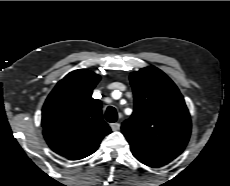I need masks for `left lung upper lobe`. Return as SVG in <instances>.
Returning a JSON list of instances; mask_svg holds the SVG:
<instances>
[{
  "label": "left lung upper lobe",
  "mask_w": 230,
  "mask_h": 186,
  "mask_svg": "<svg viewBox=\"0 0 230 186\" xmlns=\"http://www.w3.org/2000/svg\"><path fill=\"white\" fill-rule=\"evenodd\" d=\"M134 111L123 122L122 133L138 160L167 164L188 143L190 114L173 81L149 66L130 75Z\"/></svg>",
  "instance_id": "obj_1"
}]
</instances>
